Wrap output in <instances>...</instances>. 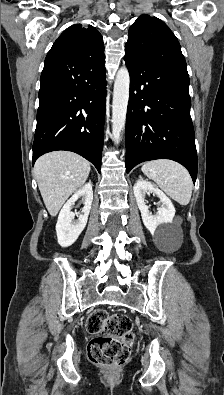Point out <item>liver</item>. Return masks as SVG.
<instances>
[{"instance_id": "liver-1", "label": "liver", "mask_w": 224, "mask_h": 395, "mask_svg": "<svg viewBox=\"0 0 224 395\" xmlns=\"http://www.w3.org/2000/svg\"><path fill=\"white\" fill-rule=\"evenodd\" d=\"M90 169L86 159L68 151L50 152L36 161L35 178L51 216H56L69 196L85 184Z\"/></svg>"}]
</instances>
